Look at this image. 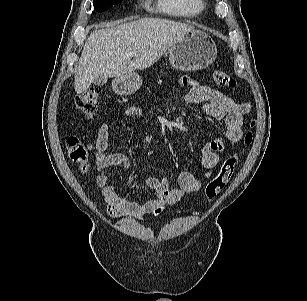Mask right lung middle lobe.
<instances>
[{
    "label": "right lung middle lobe",
    "mask_w": 307,
    "mask_h": 301,
    "mask_svg": "<svg viewBox=\"0 0 307 301\" xmlns=\"http://www.w3.org/2000/svg\"><path fill=\"white\" fill-rule=\"evenodd\" d=\"M121 1L122 0H93L94 10L98 12L105 11Z\"/></svg>",
    "instance_id": "1"
}]
</instances>
